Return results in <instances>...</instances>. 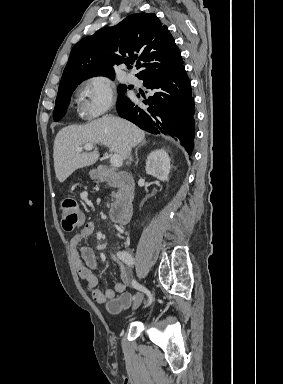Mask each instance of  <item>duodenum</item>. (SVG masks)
Segmentation results:
<instances>
[{
    "instance_id": "duodenum-1",
    "label": "duodenum",
    "mask_w": 283,
    "mask_h": 384,
    "mask_svg": "<svg viewBox=\"0 0 283 384\" xmlns=\"http://www.w3.org/2000/svg\"><path fill=\"white\" fill-rule=\"evenodd\" d=\"M96 172L98 180L111 182L120 187L119 200L111 212V219L118 225L128 224L132 218L135 198L131 175L128 172L114 173L106 165L98 166Z\"/></svg>"
}]
</instances>
